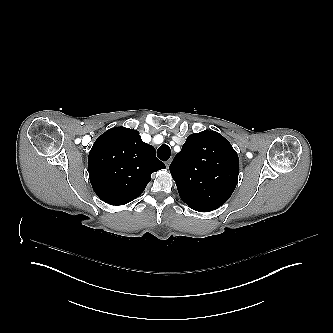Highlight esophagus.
<instances>
[{"label": "esophagus", "mask_w": 333, "mask_h": 333, "mask_svg": "<svg viewBox=\"0 0 333 333\" xmlns=\"http://www.w3.org/2000/svg\"><path fill=\"white\" fill-rule=\"evenodd\" d=\"M170 160H168L167 162H166V167L168 168L169 167V165H170Z\"/></svg>", "instance_id": "esophagus-1"}]
</instances>
